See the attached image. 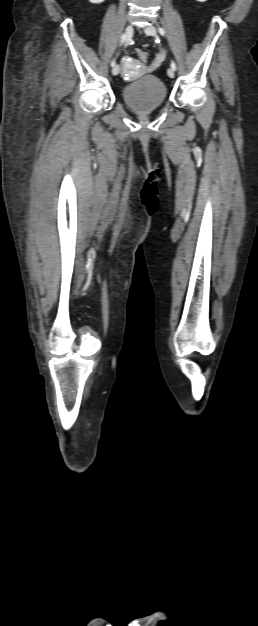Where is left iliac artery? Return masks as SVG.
I'll list each match as a JSON object with an SVG mask.
<instances>
[{"label": "left iliac artery", "mask_w": 258, "mask_h": 626, "mask_svg": "<svg viewBox=\"0 0 258 626\" xmlns=\"http://www.w3.org/2000/svg\"><path fill=\"white\" fill-rule=\"evenodd\" d=\"M159 33L162 36H165V30L162 27L158 28ZM171 68L175 71L177 69L176 63L174 61H171Z\"/></svg>", "instance_id": "left-iliac-artery-1"}]
</instances>
